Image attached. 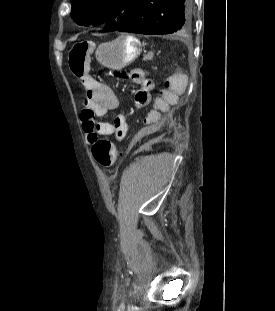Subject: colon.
<instances>
[{
    "instance_id": "obj_1",
    "label": "colon",
    "mask_w": 275,
    "mask_h": 311,
    "mask_svg": "<svg viewBox=\"0 0 275 311\" xmlns=\"http://www.w3.org/2000/svg\"><path fill=\"white\" fill-rule=\"evenodd\" d=\"M91 41L76 42L68 55V62L71 72L78 79H84L88 71L89 55L92 51ZM92 156L97 164L102 167H111L118 159V153L113 143L104 137H92Z\"/></svg>"
}]
</instances>
